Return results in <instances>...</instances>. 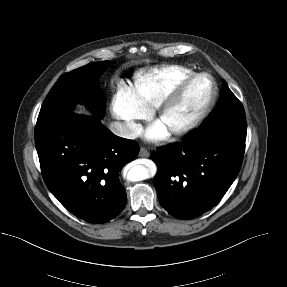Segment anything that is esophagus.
I'll list each match as a JSON object with an SVG mask.
<instances>
[{
    "label": "esophagus",
    "mask_w": 287,
    "mask_h": 287,
    "mask_svg": "<svg viewBox=\"0 0 287 287\" xmlns=\"http://www.w3.org/2000/svg\"><path fill=\"white\" fill-rule=\"evenodd\" d=\"M150 153L147 149L141 147L139 151V156L140 157H149Z\"/></svg>",
    "instance_id": "34e87169"
}]
</instances>
